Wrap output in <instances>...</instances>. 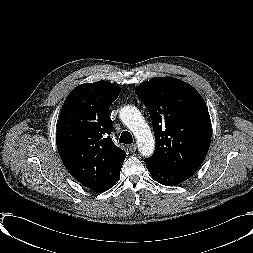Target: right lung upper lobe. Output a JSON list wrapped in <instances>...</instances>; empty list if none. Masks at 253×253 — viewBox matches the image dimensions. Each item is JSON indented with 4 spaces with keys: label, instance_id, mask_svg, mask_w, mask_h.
<instances>
[{
    "label": "right lung upper lobe",
    "instance_id": "cb5924a9",
    "mask_svg": "<svg viewBox=\"0 0 253 253\" xmlns=\"http://www.w3.org/2000/svg\"><path fill=\"white\" fill-rule=\"evenodd\" d=\"M121 89L107 81L77 86L61 110L56 143L66 169L82 185L106 191L119 179L126 153L110 134L109 107Z\"/></svg>",
    "mask_w": 253,
    "mask_h": 253
}]
</instances>
